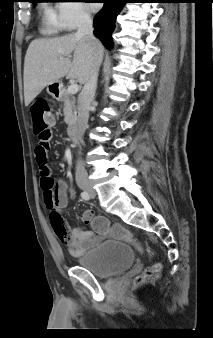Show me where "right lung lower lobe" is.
Here are the masks:
<instances>
[{
    "instance_id": "right-lung-lower-lobe-1",
    "label": "right lung lower lobe",
    "mask_w": 213,
    "mask_h": 338,
    "mask_svg": "<svg viewBox=\"0 0 213 338\" xmlns=\"http://www.w3.org/2000/svg\"><path fill=\"white\" fill-rule=\"evenodd\" d=\"M103 3V8L96 15L93 22L94 34L106 48L111 49V34L114 30L115 20L127 0H103Z\"/></svg>"
}]
</instances>
